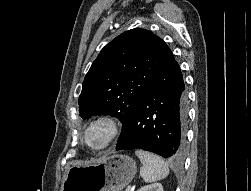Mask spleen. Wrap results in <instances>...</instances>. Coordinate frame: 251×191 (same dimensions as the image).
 Returning <instances> with one entry per match:
<instances>
[{
    "mask_svg": "<svg viewBox=\"0 0 251 191\" xmlns=\"http://www.w3.org/2000/svg\"><path fill=\"white\" fill-rule=\"evenodd\" d=\"M135 153L138 155L141 163H143L142 167H140V175L144 181L149 183V181H158V179L167 177L169 167L166 161L161 159L159 155H154L150 151H143V149H137Z\"/></svg>",
    "mask_w": 251,
    "mask_h": 191,
    "instance_id": "obj_1",
    "label": "spleen"
}]
</instances>
